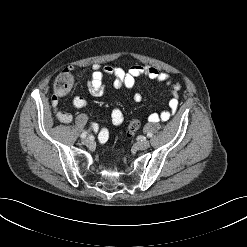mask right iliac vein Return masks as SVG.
<instances>
[{
  "label": "right iliac vein",
  "mask_w": 247,
  "mask_h": 247,
  "mask_svg": "<svg viewBox=\"0 0 247 247\" xmlns=\"http://www.w3.org/2000/svg\"><path fill=\"white\" fill-rule=\"evenodd\" d=\"M82 142L84 145L88 146V145H91L93 143V140L90 137H87V138L83 139Z\"/></svg>",
  "instance_id": "1"
}]
</instances>
